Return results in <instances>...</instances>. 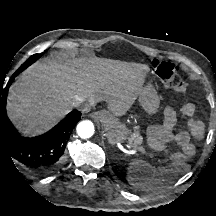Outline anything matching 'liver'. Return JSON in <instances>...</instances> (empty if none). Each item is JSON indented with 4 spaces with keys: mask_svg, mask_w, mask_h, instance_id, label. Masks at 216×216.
Here are the masks:
<instances>
[{
    "mask_svg": "<svg viewBox=\"0 0 216 216\" xmlns=\"http://www.w3.org/2000/svg\"><path fill=\"white\" fill-rule=\"evenodd\" d=\"M147 66L114 60L48 58L15 83L8 115L26 135L47 131L72 108L76 97L110 99V110L128 109L139 95Z\"/></svg>",
    "mask_w": 216,
    "mask_h": 216,
    "instance_id": "obj_1",
    "label": "liver"
}]
</instances>
